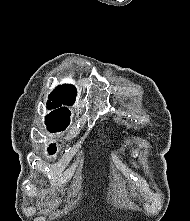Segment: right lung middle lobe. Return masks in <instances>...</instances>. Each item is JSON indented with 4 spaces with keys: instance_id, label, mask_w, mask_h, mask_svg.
<instances>
[{
    "instance_id": "obj_1",
    "label": "right lung middle lobe",
    "mask_w": 190,
    "mask_h": 221,
    "mask_svg": "<svg viewBox=\"0 0 190 221\" xmlns=\"http://www.w3.org/2000/svg\"><path fill=\"white\" fill-rule=\"evenodd\" d=\"M47 125L48 131L54 133V132H59L63 131L66 129V127L69 125V123H64V122H53V121H45ZM57 147L55 144H51L50 147L48 148V152L52 155L56 152Z\"/></svg>"
}]
</instances>
